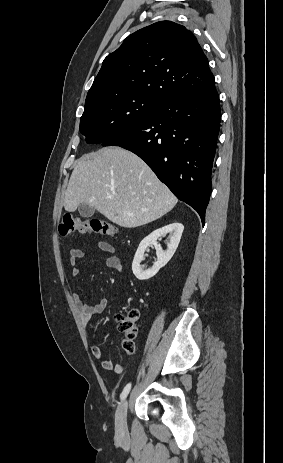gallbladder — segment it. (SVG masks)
<instances>
[{
	"label": "gallbladder",
	"instance_id": "bac80fb5",
	"mask_svg": "<svg viewBox=\"0 0 283 463\" xmlns=\"http://www.w3.org/2000/svg\"><path fill=\"white\" fill-rule=\"evenodd\" d=\"M78 211L81 217L90 218L95 214V209L88 204H80Z\"/></svg>",
	"mask_w": 283,
	"mask_h": 463
}]
</instances>
